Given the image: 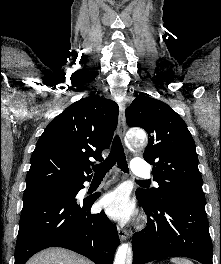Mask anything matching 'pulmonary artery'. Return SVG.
I'll list each match as a JSON object with an SVG mask.
<instances>
[{
	"instance_id": "obj_1",
	"label": "pulmonary artery",
	"mask_w": 221,
	"mask_h": 264,
	"mask_svg": "<svg viewBox=\"0 0 221 264\" xmlns=\"http://www.w3.org/2000/svg\"><path fill=\"white\" fill-rule=\"evenodd\" d=\"M131 171L133 174L143 177V178H148L150 177V170L147 166V163L140 158H135L131 162Z\"/></svg>"
}]
</instances>
